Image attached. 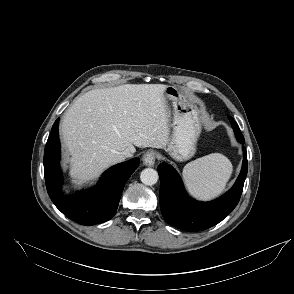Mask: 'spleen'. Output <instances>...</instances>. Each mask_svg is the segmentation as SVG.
Segmentation results:
<instances>
[{
	"label": "spleen",
	"instance_id": "3e777b00",
	"mask_svg": "<svg viewBox=\"0 0 294 294\" xmlns=\"http://www.w3.org/2000/svg\"><path fill=\"white\" fill-rule=\"evenodd\" d=\"M231 174V162L220 153H212L189 162L182 173L189 192L202 200L222 193Z\"/></svg>",
	"mask_w": 294,
	"mask_h": 294
}]
</instances>
